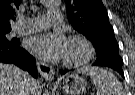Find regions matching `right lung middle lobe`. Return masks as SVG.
Listing matches in <instances>:
<instances>
[{
    "label": "right lung middle lobe",
    "mask_w": 135,
    "mask_h": 95,
    "mask_svg": "<svg viewBox=\"0 0 135 95\" xmlns=\"http://www.w3.org/2000/svg\"><path fill=\"white\" fill-rule=\"evenodd\" d=\"M11 30H0V44L1 43H9L12 40H8L5 35L9 33Z\"/></svg>",
    "instance_id": "right-lung-middle-lobe-1"
}]
</instances>
